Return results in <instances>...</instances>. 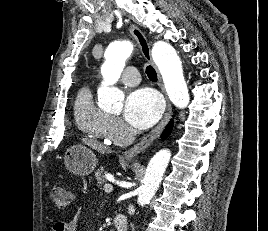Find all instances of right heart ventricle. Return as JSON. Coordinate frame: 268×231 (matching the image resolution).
Instances as JSON below:
<instances>
[{
    "instance_id": "1",
    "label": "right heart ventricle",
    "mask_w": 268,
    "mask_h": 231,
    "mask_svg": "<svg viewBox=\"0 0 268 231\" xmlns=\"http://www.w3.org/2000/svg\"><path fill=\"white\" fill-rule=\"evenodd\" d=\"M74 118L77 127L88 137L110 141L111 116L95 104L90 86H83L79 90L74 103Z\"/></svg>"
}]
</instances>
